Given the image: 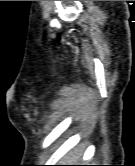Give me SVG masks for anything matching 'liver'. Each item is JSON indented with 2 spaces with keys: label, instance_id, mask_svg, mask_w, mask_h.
<instances>
[{
  "label": "liver",
  "instance_id": "6515ba94",
  "mask_svg": "<svg viewBox=\"0 0 135 166\" xmlns=\"http://www.w3.org/2000/svg\"><path fill=\"white\" fill-rule=\"evenodd\" d=\"M83 153V149L82 148H78L75 149L73 152L69 153L66 157H65V162L66 163H78L81 155Z\"/></svg>",
  "mask_w": 135,
  "mask_h": 166
}]
</instances>
